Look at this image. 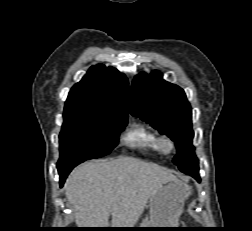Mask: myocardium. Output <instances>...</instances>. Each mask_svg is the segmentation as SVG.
Wrapping results in <instances>:
<instances>
[{
  "mask_svg": "<svg viewBox=\"0 0 252 231\" xmlns=\"http://www.w3.org/2000/svg\"><path fill=\"white\" fill-rule=\"evenodd\" d=\"M175 147V141L171 137L163 135L159 138V148L164 154L172 153Z\"/></svg>",
  "mask_w": 252,
  "mask_h": 231,
  "instance_id": "f54148a6",
  "label": "myocardium"
}]
</instances>
